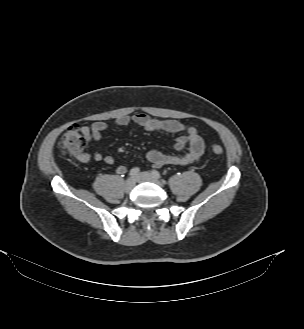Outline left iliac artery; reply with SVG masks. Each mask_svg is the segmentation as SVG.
<instances>
[{"mask_svg": "<svg viewBox=\"0 0 304 329\" xmlns=\"http://www.w3.org/2000/svg\"><path fill=\"white\" fill-rule=\"evenodd\" d=\"M151 173L155 178L161 179V175L157 170H153Z\"/></svg>", "mask_w": 304, "mask_h": 329, "instance_id": "1", "label": "left iliac artery"}]
</instances>
